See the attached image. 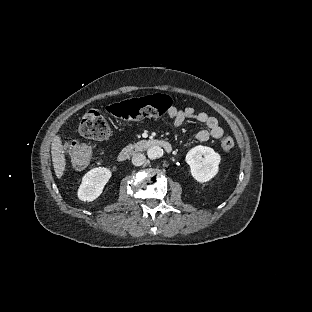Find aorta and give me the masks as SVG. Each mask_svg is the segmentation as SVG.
Returning <instances> with one entry per match:
<instances>
[{"mask_svg": "<svg viewBox=\"0 0 312 312\" xmlns=\"http://www.w3.org/2000/svg\"><path fill=\"white\" fill-rule=\"evenodd\" d=\"M147 155H148V158L151 160L160 158L163 155V149L160 146H151L147 150Z\"/></svg>", "mask_w": 312, "mask_h": 312, "instance_id": "1", "label": "aorta"}]
</instances>
